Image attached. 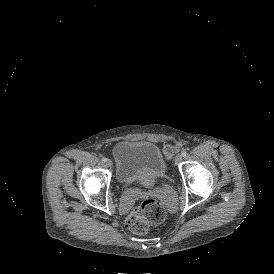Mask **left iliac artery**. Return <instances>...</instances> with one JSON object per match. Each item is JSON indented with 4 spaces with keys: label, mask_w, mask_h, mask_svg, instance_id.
I'll use <instances>...</instances> for the list:
<instances>
[{
    "label": "left iliac artery",
    "mask_w": 274,
    "mask_h": 274,
    "mask_svg": "<svg viewBox=\"0 0 274 274\" xmlns=\"http://www.w3.org/2000/svg\"><path fill=\"white\" fill-rule=\"evenodd\" d=\"M187 155V151L183 150L182 151V156H186Z\"/></svg>",
    "instance_id": "left-iliac-artery-1"
}]
</instances>
